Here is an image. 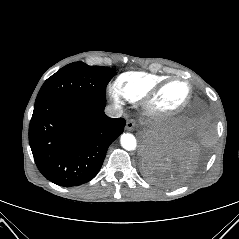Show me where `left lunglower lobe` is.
<instances>
[{"mask_svg":"<svg viewBox=\"0 0 239 239\" xmlns=\"http://www.w3.org/2000/svg\"><path fill=\"white\" fill-rule=\"evenodd\" d=\"M212 125L206 110L192 105L173 126L147 139L143 145V171L166 187L185 182L204 163Z\"/></svg>","mask_w":239,"mask_h":239,"instance_id":"obj_1","label":"left lung lower lobe"}]
</instances>
